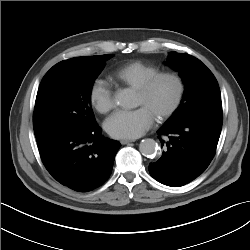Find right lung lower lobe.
I'll list each match as a JSON object with an SVG mask.
<instances>
[{"instance_id": "98d812e1", "label": "right lung lower lobe", "mask_w": 250, "mask_h": 250, "mask_svg": "<svg viewBox=\"0 0 250 250\" xmlns=\"http://www.w3.org/2000/svg\"><path fill=\"white\" fill-rule=\"evenodd\" d=\"M94 127L78 132H56L36 137L42 162L50 175L62 185L88 192L110 176L118 141L101 135Z\"/></svg>"}]
</instances>
